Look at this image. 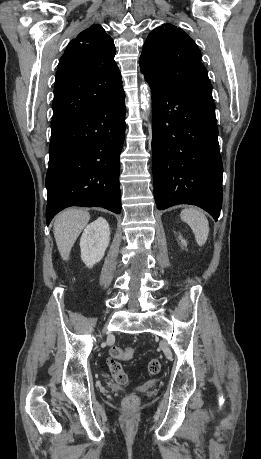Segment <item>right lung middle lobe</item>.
I'll list each match as a JSON object with an SVG mask.
<instances>
[{
    "label": "right lung middle lobe",
    "mask_w": 261,
    "mask_h": 459,
    "mask_svg": "<svg viewBox=\"0 0 261 459\" xmlns=\"http://www.w3.org/2000/svg\"><path fill=\"white\" fill-rule=\"evenodd\" d=\"M58 128H59V127H52V131H54V130H56V129H58Z\"/></svg>",
    "instance_id": "right-lung-middle-lobe-1"
}]
</instances>
